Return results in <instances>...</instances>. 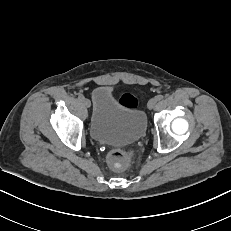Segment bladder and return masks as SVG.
Returning a JSON list of instances; mask_svg holds the SVG:
<instances>
[{
    "mask_svg": "<svg viewBox=\"0 0 231 231\" xmlns=\"http://www.w3.org/2000/svg\"><path fill=\"white\" fill-rule=\"evenodd\" d=\"M92 96L90 133L94 140L106 144H129L144 136L147 117L143 110L115 98L109 86H98Z\"/></svg>",
    "mask_w": 231,
    "mask_h": 231,
    "instance_id": "obj_1",
    "label": "bladder"
}]
</instances>
